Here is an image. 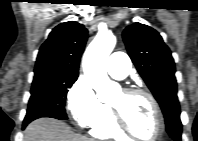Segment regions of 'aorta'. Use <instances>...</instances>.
<instances>
[{"instance_id":"1","label":"aorta","mask_w":198,"mask_h":141,"mask_svg":"<svg viewBox=\"0 0 198 141\" xmlns=\"http://www.w3.org/2000/svg\"><path fill=\"white\" fill-rule=\"evenodd\" d=\"M115 45L116 37L112 33L99 32L83 56L84 74L102 102H109L119 90V86L109 79L106 71V61Z\"/></svg>"}]
</instances>
